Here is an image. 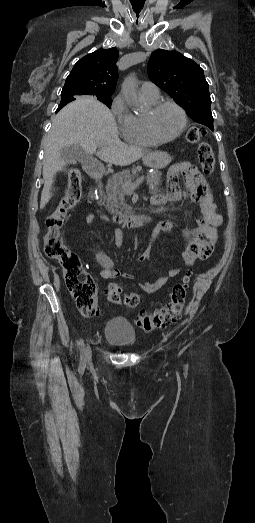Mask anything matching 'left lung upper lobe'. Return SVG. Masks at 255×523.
<instances>
[{"mask_svg": "<svg viewBox=\"0 0 255 523\" xmlns=\"http://www.w3.org/2000/svg\"><path fill=\"white\" fill-rule=\"evenodd\" d=\"M148 75L194 121L214 130L209 86L198 64L178 52L156 50L148 62Z\"/></svg>", "mask_w": 255, "mask_h": 523, "instance_id": "1", "label": "left lung upper lobe"}]
</instances>
